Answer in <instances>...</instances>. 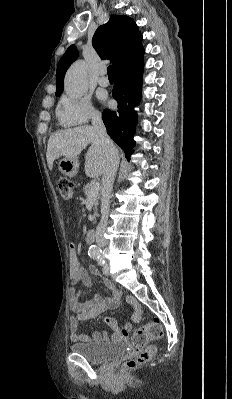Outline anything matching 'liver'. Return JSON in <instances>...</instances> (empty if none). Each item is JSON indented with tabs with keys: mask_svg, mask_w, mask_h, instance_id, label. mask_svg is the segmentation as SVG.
I'll return each instance as SVG.
<instances>
[{
	"mask_svg": "<svg viewBox=\"0 0 232 399\" xmlns=\"http://www.w3.org/2000/svg\"><path fill=\"white\" fill-rule=\"evenodd\" d=\"M89 144L91 146L85 156V174L88 178H99L106 166V148L100 144L93 126L68 128V130H60L52 134L48 140L46 152L49 170H53L54 160H58L61 156L77 158ZM114 150L118 154L116 146Z\"/></svg>",
	"mask_w": 232,
	"mask_h": 399,
	"instance_id": "1",
	"label": "liver"
}]
</instances>
